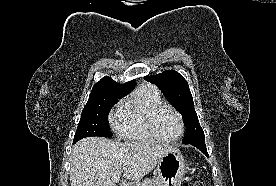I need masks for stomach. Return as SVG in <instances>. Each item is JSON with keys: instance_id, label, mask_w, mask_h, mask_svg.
<instances>
[{"instance_id": "0dacf381", "label": "stomach", "mask_w": 276, "mask_h": 186, "mask_svg": "<svg viewBox=\"0 0 276 186\" xmlns=\"http://www.w3.org/2000/svg\"><path fill=\"white\" fill-rule=\"evenodd\" d=\"M159 178L164 186H180L186 172L185 160L179 149H172L165 154L157 166Z\"/></svg>"}]
</instances>
